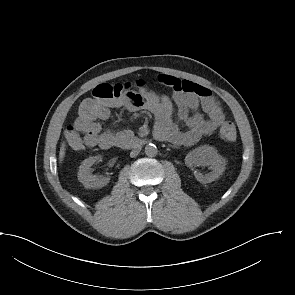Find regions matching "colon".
<instances>
[{
    "mask_svg": "<svg viewBox=\"0 0 295 295\" xmlns=\"http://www.w3.org/2000/svg\"><path fill=\"white\" fill-rule=\"evenodd\" d=\"M143 82L134 84H99L92 91V98L86 99L80 106V112L90 113L98 104L109 103L116 100L134 89H143ZM220 136L226 142H233L236 139V127L232 122L226 121L220 128Z\"/></svg>",
    "mask_w": 295,
    "mask_h": 295,
    "instance_id": "5ec220e1",
    "label": "colon"
}]
</instances>
